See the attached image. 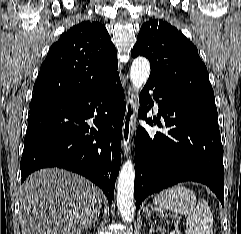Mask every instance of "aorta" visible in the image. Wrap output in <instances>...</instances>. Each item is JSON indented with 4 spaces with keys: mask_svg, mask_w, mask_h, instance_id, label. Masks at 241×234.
Listing matches in <instances>:
<instances>
[{
    "mask_svg": "<svg viewBox=\"0 0 241 234\" xmlns=\"http://www.w3.org/2000/svg\"><path fill=\"white\" fill-rule=\"evenodd\" d=\"M150 75V63L145 57L134 59L130 70V80L136 91L140 90L147 82ZM134 178L135 170L132 159L129 158L123 164L117 183V206L120 215L125 222H131L134 218Z\"/></svg>",
    "mask_w": 241,
    "mask_h": 234,
    "instance_id": "762f6f07",
    "label": "aorta"
}]
</instances>
